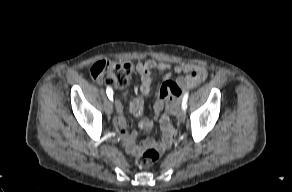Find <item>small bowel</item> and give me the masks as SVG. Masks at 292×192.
Listing matches in <instances>:
<instances>
[{"label":"small bowel","instance_id":"c3829d8e","mask_svg":"<svg viewBox=\"0 0 292 192\" xmlns=\"http://www.w3.org/2000/svg\"><path fill=\"white\" fill-rule=\"evenodd\" d=\"M136 70L141 78L140 92L143 95L149 93L154 74L164 72L165 82L160 85L157 100L154 104V111L162 131V138L158 146L160 149H165L171 144L175 136V129L170 122L169 116L177 112L182 90L186 87H194L204 81L207 77L206 68L200 64L172 66L168 63L149 59L144 62H138ZM171 70L177 74L186 73V75L179 76L175 81H171ZM165 100H167L166 107H164ZM117 110L120 113L122 112V105L119 101L117 102ZM142 111L143 101L141 97H135L130 102V112L139 117ZM115 125L127 152L132 155L140 154L145 148L155 144L153 140L136 143L138 133L128 132L125 118L122 115L115 120ZM140 126L145 130H149L152 128L153 122L148 119H141Z\"/></svg>","mask_w":292,"mask_h":192}]
</instances>
